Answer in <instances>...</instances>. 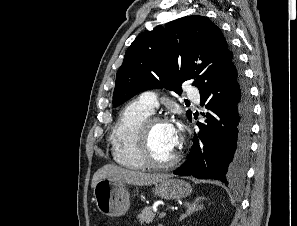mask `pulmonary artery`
<instances>
[{"label":"pulmonary artery","mask_w":297,"mask_h":226,"mask_svg":"<svg viewBox=\"0 0 297 226\" xmlns=\"http://www.w3.org/2000/svg\"><path fill=\"white\" fill-rule=\"evenodd\" d=\"M187 95L190 99L194 101L199 100V90L195 87H190L188 89ZM140 102L145 105L147 108H149L152 112L157 107V95L154 91H145L142 92L139 96Z\"/></svg>","instance_id":"pulmonary-artery-1"}]
</instances>
